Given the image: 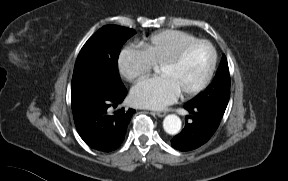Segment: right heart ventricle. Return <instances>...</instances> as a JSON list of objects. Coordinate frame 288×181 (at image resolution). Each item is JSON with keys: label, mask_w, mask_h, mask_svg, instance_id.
<instances>
[{"label": "right heart ventricle", "mask_w": 288, "mask_h": 181, "mask_svg": "<svg viewBox=\"0 0 288 181\" xmlns=\"http://www.w3.org/2000/svg\"><path fill=\"white\" fill-rule=\"evenodd\" d=\"M195 40L197 37L187 32L163 30L140 42V48L145 52L152 65H159L182 46Z\"/></svg>", "instance_id": "e07e8e85"}]
</instances>
